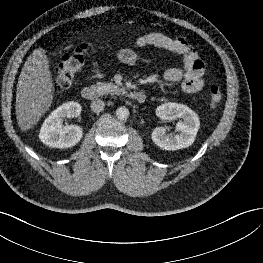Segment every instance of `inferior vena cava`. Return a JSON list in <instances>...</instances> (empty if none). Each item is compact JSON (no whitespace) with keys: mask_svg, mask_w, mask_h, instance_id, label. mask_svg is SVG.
Instances as JSON below:
<instances>
[{"mask_svg":"<svg viewBox=\"0 0 263 263\" xmlns=\"http://www.w3.org/2000/svg\"><path fill=\"white\" fill-rule=\"evenodd\" d=\"M90 107H91V110H92L93 112L99 113V112H101V111L104 110V108H105V103H104V101H102V100H100V99H96V100L92 101Z\"/></svg>","mask_w":263,"mask_h":263,"instance_id":"inferior-vena-cava-1","label":"inferior vena cava"}]
</instances>
